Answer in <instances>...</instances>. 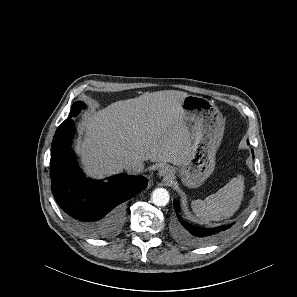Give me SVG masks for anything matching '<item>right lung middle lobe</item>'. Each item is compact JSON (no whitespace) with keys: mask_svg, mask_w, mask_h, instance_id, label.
<instances>
[{"mask_svg":"<svg viewBox=\"0 0 297 297\" xmlns=\"http://www.w3.org/2000/svg\"><path fill=\"white\" fill-rule=\"evenodd\" d=\"M82 109H85V104L81 101L76 102L71 109L69 117H76Z\"/></svg>","mask_w":297,"mask_h":297,"instance_id":"dd1d6c3e","label":"right lung middle lobe"}]
</instances>
